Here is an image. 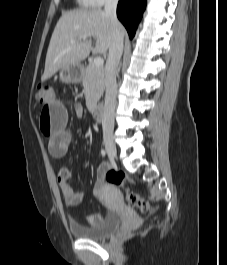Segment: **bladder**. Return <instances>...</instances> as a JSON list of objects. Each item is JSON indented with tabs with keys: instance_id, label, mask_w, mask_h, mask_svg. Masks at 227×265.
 I'll return each instance as SVG.
<instances>
[{
	"instance_id": "obj_1",
	"label": "bladder",
	"mask_w": 227,
	"mask_h": 265,
	"mask_svg": "<svg viewBox=\"0 0 227 265\" xmlns=\"http://www.w3.org/2000/svg\"><path fill=\"white\" fill-rule=\"evenodd\" d=\"M116 191L115 187H112ZM121 224V217L118 213H109L97 226H84L76 222H70L69 229L73 237L83 240L98 241L114 233Z\"/></svg>"
}]
</instances>
